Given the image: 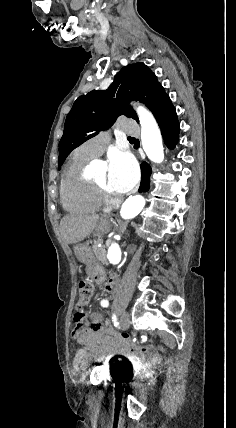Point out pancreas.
Masks as SVG:
<instances>
[{"label":"pancreas","mask_w":236,"mask_h":428,"mask_svg":"<svg viewBox=\"0 0 236 428\" xmlns=\"http://www.w3.org/2000/svg\"><path fill=\"white\" fill-rule=\"evenodd\" d=\"M98 244H100V240H96V242H94L93 244V252L97 260H99L101 264H108L107 258H106L105 246H102V248H98Z\"/></svg>","instance_id":"1"}]
</instances>
